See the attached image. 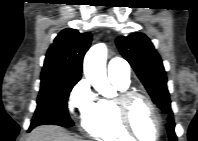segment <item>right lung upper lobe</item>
Instances as JSON below:
<instances>
[{"label":"right lung upper lobe","mask_w":198,"mask_h":141,"mask_svg":"<svg viewBox=\"0 0 198 141\" xmlns=\"http://www.w3.org/2000/svg\"><path fill=\"white\" fill-rule=\"evenodd\" d=\"M90 33L67 28L61 31L48 49L41 77L81 78L83 57L90 47Z\"/></svg>","instance_id":"cb5924a9"}]
</instances>
